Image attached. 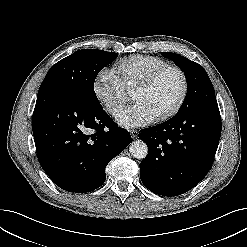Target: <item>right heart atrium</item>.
<instances>
[{
  "instance_id": "d8ad5b80",
  "label": "right heart atrium",
  "mask_w": 247,
  "mask_h": 247,
  "mask_svg": "<svg viewBox=\"0 0 247 247\" xmlns=\"http://www.w3.org/2000/svg\"><path fill=\"white\" fill-rule=\"evenodd\" d=\"M93 93L98 102L110 114L116 113L126 102L125 91L115 74L104 68L93 82Z\"/></svg>"
}]
</instances>
